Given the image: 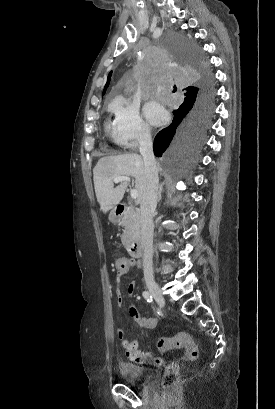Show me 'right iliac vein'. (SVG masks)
I'll list each match as a JSON object with an SVG mask.
<instances>
[{
  "instance_id": "obj_1",
  "label": "right iliac vein",
  "mask_w": 275,
  "mask_h": 409,
  "mask_svg": "<svg viewBox=\"0 0 275 409\" xmlns=\"http://www.w3.org/2000/svg\"><path fill=\"white\" fill-rule=\"evenodd\" d=\"M147 287L150 293L152 294V296L159 303V305L163 306L165 303V299H164L163 293L161 289L159 288L158 284L156 282H147Z\"/></svg>"
}]
</instances>
